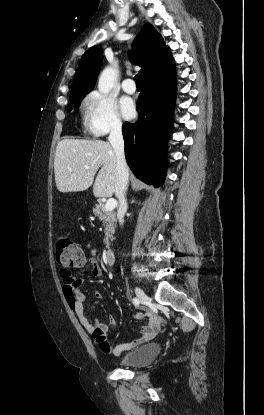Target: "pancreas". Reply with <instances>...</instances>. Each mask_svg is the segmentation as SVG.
Listing matches in <instances>:
<instances>
[{"mask_svg": "<svg viewBox=\"0 0 264 415\" xmlns=\"http://www.w3.org/2000/svg\"><path fill=\"white\" fill-rule=\"evenodd\" d=\"M93 212L95 216L99 217V219L103 222L105 226L104 244L106 245V247H109L110 239H113V235L115 233L116 214L114 211H106L104 209V205L101 202L95 205V207L93 208Z\"/></svg>", "mask_w": 264, "mask_h": 415, "instance_id": "pancreas-1", "label": "pancreas"}]
</instances>
